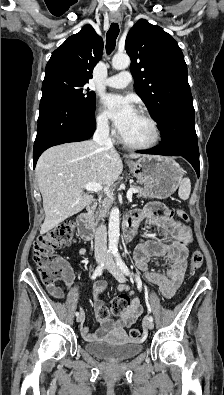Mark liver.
Listing matches in <instances>:
<instances>
[{
    "mask_svg": "<svg viewBox=\"0 0 224 395\" xmlns=\"http://www.w3.org/2000/svg\"><path fill=\"white\" fill-rule=\"evenodd\" d=\"M130 158L141 157L131 154ZM123 171L118 152L92 140L67 143L46 150L36 165L38 187L43 198L45 234L82 211L92 200L84 191L89 182L110 187Z\"/></svg>",
    "mask_w": 224,
    "mask_h": 395,
    "instance_id": "liver-1",
    "label": "liver"
}]
</instances>
